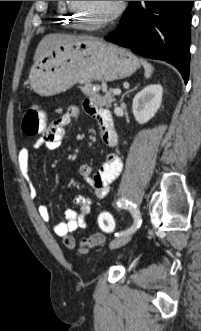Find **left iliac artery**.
<instances>
[{
	"label": "left iliac artery",
	"instance_id": "obj_1",
	"mask_svg": "<svg viewBox=\"0 0 201 331\" xmlns=\"http://www.w3.org/2000/svg\"><path fill=\"white\" fill-rule=\"evenodd\" d=\"M119 206H121V204L119 203ZM126 207L129 209V211L131 212L133 218H134V223L132 225V227L126 231H121L119 233H116L115 236L118 237V236H122V235H125V234H128V233H133L135 232L141 225V215H140V212L139 210L137 209L136 205L135 204H132L131 202L129 203L128 201H126L124 204H123V207Z\"/></svg>",
	"mask_w": 201,
	"mask_h": 331
}]
</instances>
